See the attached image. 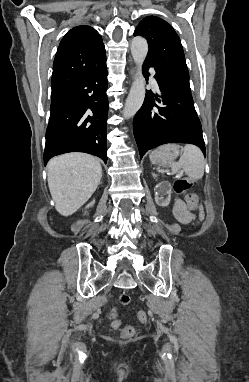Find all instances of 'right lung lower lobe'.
<instances>
[{
	"mask_svg": "<svg viewBox=\"0 0 249 382\" xmlns=\"http://www.w3.org/2000/svg\"><path fill=\"white\" fill-rule=\"evenodd\" d=\"M106 55L81 80L52 99L44 163L67 152H85L107 162Z\"/></svg>",
	"mask_w": 249,
	"mask_h": 382,
	"instance_id": "1",
	"label": "right lung lower lobe"
}]
</instances>
